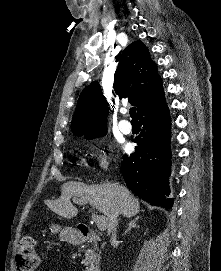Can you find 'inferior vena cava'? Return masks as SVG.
Wrapping results in <instances>:
<instances>
[{
	"label": "inferior vena cava",
	"mask_w": 221,
	"mask_h": 271,
	"mask_svg": "<svg viewBox=\"0 0 221 271\" xmlns=\"http://www.w3.org/2000/svg\"><path fill=\"white\" fill-rule=\"evenodd\" d=\"M118 223H119V215H117V217H115L113 227H112V233H111L112 245H114V243H116Z\"/></svg>",
	"instance_id": "1"
}]
</instances>
